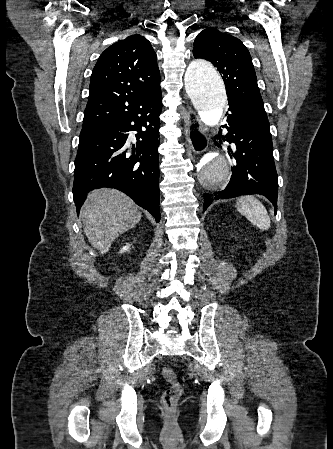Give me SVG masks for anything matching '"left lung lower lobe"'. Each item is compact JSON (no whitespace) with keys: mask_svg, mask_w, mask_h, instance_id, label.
Masks as SVG:
<instances>
[{"mask_svg":"<svg viewBox=\"0 0 333 449\" xmlns=\"http://www.w3.org/2000/svg\"><path fill=\"white\" fill-rule=\"evenodd\" d=\"M227 141L236 150L230 154L235 163L228 186L212 194H204L203 212L213 200L246 194L268 198L277 212L278 176L268 119L249 113L235 103L229 104ZM228 113V112H227Z\"/></svg>","mask_w":333,"mask_h":449,"instance_id":"1","label":"left lung lower lobe"}]
</instances>
